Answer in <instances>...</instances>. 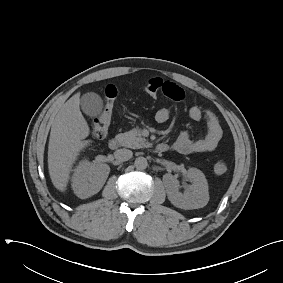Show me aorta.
Here are the masks:
<instances>
[{"label":"aorta","instance_id":"aorta-1","mask_svg":"<svg viewBox=\"0 0 283 283\" xmlns=\"http://www.w3.org/2000/svg\"><path fill=\"white\" fill-rule=\"evenodd\" d=\"M134 165L138 170H144L148 166L147 159L145 157H138L135 159Z\"/></svg>","mask_w":283,"mask_h":283}]
</instances>
